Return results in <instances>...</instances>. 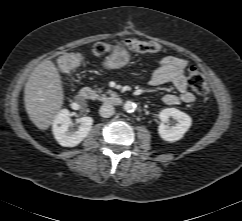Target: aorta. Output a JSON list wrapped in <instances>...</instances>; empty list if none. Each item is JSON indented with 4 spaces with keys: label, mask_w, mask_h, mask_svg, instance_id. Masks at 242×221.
<instances>
[{
    "label": "aorta",
    "mask_w": 242,
    "mask_h": 221,
    "mask_svg": "<svg viewBox=\"0 0 242 221\" xmlns=\"http://www.w3.org/2000/svg\"><path fill=\"white\" fill-rule=\"evenodd\" d=\"M136 104L132 101H126L124 103L123 109L124 111L128 112V113H132L136 110Z\"/></svg>",
    "instance_id": "1"
}]
</instances>
